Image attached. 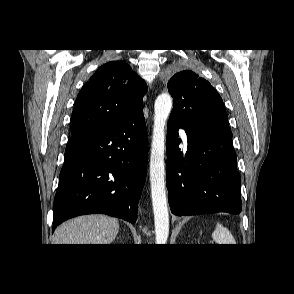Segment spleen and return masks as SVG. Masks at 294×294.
<instances>
[{
  "label": "spleen",
  "instance_id": "1",
  "mask_svg": "<svg viewBox=\"0 0 294 294\" xmlns=\"http://www.w3.org/2000/svg\"><path fill=\"white\" fill-rule=\"evenodd\" d=\"M212 238L217 244H235V240L230 231L219 223H217L212 233Z\"/></svg>",
  "mask_w": 294,
  "mask_h": 294
}]
</instances>
